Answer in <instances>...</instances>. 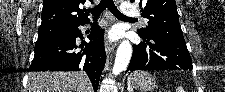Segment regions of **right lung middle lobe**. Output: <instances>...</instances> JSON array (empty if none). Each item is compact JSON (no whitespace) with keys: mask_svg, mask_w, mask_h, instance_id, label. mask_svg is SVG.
<instances>
[{"mask_svg":"<svg viewBox=\"0 0 225 92\" xmlns=\"http://www.w3.org/2000/svg\"><path fill=\"white\" fill-rule=\"evenodd\" d=\"M72 29V27L65 26L41 27L38 30V40L36 43L65 38Z\"/></svg>","mask_w":225,"mask_h":92,"instance_id":"right-lung-middle-lobe-1","label":"right lung middle lobe"}]
</instances>
